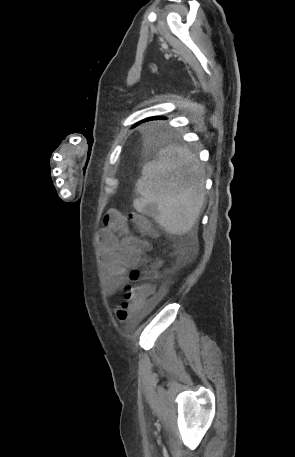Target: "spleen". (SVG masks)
I'll use <instances>...</instances> for the list:
<instances>
[{
    "label": "spleen",
    "mask_w": 295,
    "mask_h": 457,
    "mask_svg": "<svg viewBox=\"0 0 295 457\" xmlns=\"http://www.w3.org/2000/svg\"><path fill=\"white\" fill-rule=\"evenodd\" d=\"M136 191L141 197L134 200V208L175 235L192 229L205 199L194 155L178 145L161 150L157 160L145 164Z\"/></svg>",
    "instance_id": "obj_1"
}]
</instances>
